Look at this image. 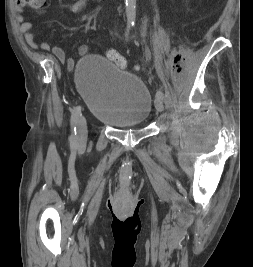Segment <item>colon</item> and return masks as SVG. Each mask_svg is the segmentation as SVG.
<instances>
[{
    "mask_svg": "<svg viewBox=\"0 0 253 267\" xmlns=\"http://www.w3.org/2000/svg\"><path fill=\"white\" fill-rule=\"evenodd\" d=\"M15 2L20 7L38 8L45 2V0H15ZM107 56L118 68L125 69L127 67V60L115 50H108Z\"/></svg>",
    "mask_w": 253,
    "mask_h": 267,
    "instance_id": "1",
    "label": "colon"
}]
</instances>
